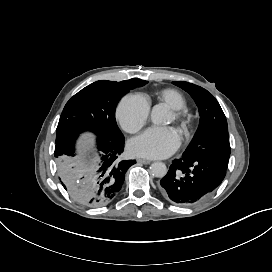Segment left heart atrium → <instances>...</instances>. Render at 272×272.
Here are the masks:
<instances>
[{"mask_svg": "<svg viewBox=\"0 0 272 272\" xmlns=\"http://www.w3.org/2000/svg\"><path fill=\"white\" fill-rule=\"evenodd\" d=\"M177 135L167 128L151 127L130 145V150L139 155L163 158L178 147Z\"/></svg>", "mask_w": 272, "mask_h": 272, "instance_id": "1", "label": "left heart atrium"}]
</instances>
